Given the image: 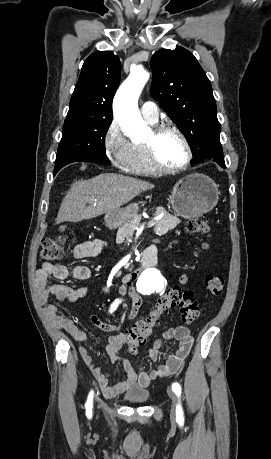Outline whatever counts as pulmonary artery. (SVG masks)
<instances>
[{
  "label": "pulmonary artery",
  "instance_id": "e3ab8cb5",
  "mask_svg": "<svg viewBox=\"0 0 271 459\" xmlns=\"http://www.w3.org/2000/svg\"><path fill=\"white\" fill-rule=\"evenodd\" d=\"M140 112L147 121L152 124L157 123L159 118V107L152 101L144 102L140 108Z\"/></svg>",
  "mask_w": 271,
  "mask_h": 459
}]
</instances>
